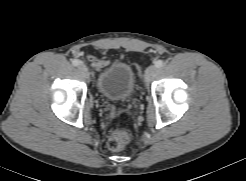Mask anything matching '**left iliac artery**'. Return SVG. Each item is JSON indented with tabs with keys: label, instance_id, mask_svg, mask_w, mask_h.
I'll use <instances>...</instances> for the list:
<instances>
[{
	"label": "left iliac artery",
	"instance_id": "obj_1",
	"mask_svg": "<svg viewBox=\"0 0 246 181\" xmlns=\"http://www.w3.org/2000/svg\"><path fill=\"white\" fill-rule=\"evenodd\" d=\"M154 63H155V66L159 69L164 67V65H165L164 61H162V60H157Z\"/></svg>",
	"mask_w": 246,
	"mask_h": 181
}]
</instances>
